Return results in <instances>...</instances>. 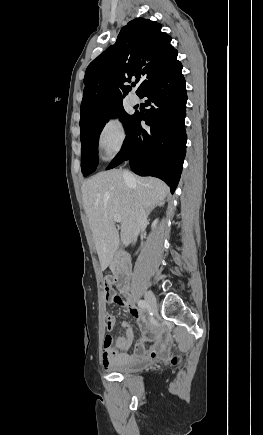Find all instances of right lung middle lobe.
I'll use <instances>...</instances> for the list:
<instances>
[{
  "label": "right lung middle lobe",
  "instance_id": "right-lung-middle-lobe-1",
  "mask_svg": "<svg viewBox=\"0 0 263 435\" xmlns=\"http://www.w3.org/2000/svg\"><path fill=\"white\" fill-rule=\"evenodd\" d=\"M110 117H119L120 120L124 123L127 132L134 120L135 114H127L123 108L122 103H120L106 110L93 123L81 128V170L84 176H87L94 172L98 165V139L100 132L102 131L105 123L110 119Z\"/></svg>",
  "mask_w": 263,
  "mask_h": 435
}]
</instances>
